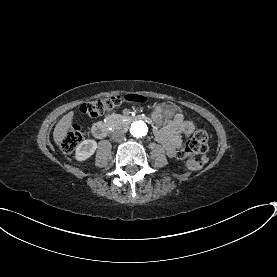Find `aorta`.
Returning a JSON list of instances; mask_svg holds the SVG:
<instances>
[{
	"instance_id": "obj_1",
	"label": "aorta",
	"mask_w": 277,
	"mask_h": 277,
	"mask_svg": "<svg viewBox=\"0 0 277 277\" xmlns=\"http://www.w3.org/2000/svg\"><path fill=\"white\" fill-rule=\"evenodd\" d=\"M148 132V127L143 121H136L131 124L130 133L137 138L144 137Z\"/></svg>"
}]
</instances>
